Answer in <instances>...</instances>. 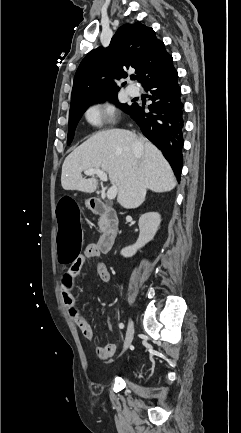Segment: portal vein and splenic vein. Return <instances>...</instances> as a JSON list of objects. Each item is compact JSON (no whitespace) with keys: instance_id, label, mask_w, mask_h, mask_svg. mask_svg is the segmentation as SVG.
<instances>
[{"instance_id":"18ae733b","label":"portal vein and splenic vein","mask_w":241,"mask_h":433,"mask_svg":"<svg viewBox=\"0 0 241 433\" xmlns=\"http://www.w3.org/2000/svg\"><path fill=\"white\" fill-rule=\"evenodd\" d=\"M84 174H86V175H97L100 178V180L105 181V182L108 180L107 174L103 170L98 169V168H91V169L85 170ZM116 195H117V186L113 185L107 191V198L109 200H113L116 197Z\"/></svg>"}]
</instances>
